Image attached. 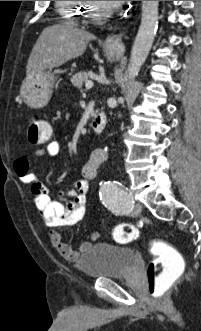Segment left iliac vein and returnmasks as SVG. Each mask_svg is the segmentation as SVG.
Here are the masks:
<instances>
[{"label": "left iliac vein", "instance_id": "4c4485c4", "mask_svg": "<svg viewBox=\"0 0 201 331\" xmlns=\"http://www.w3.org/2000/svg\"><path fill=\"white\" fill-rule=\"evenodd\" d=\"M142 211V205L139 202H136L133 205V213L138 214Z\"/></svg>", "mask_w": 201, "mask_h": 331}]
</instances>
